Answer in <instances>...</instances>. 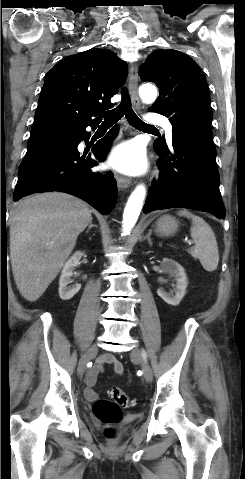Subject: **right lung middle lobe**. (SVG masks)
<instances>
[{"label":"right lung middle lobe","instance_id":"obj_1","mask_svg":"<svg viewBox=\"0 0 245 479\" xmlns=\"http://www.w3.org/2000/svg\"><path fill=\"white\" fill-rule=\"evenodd\" d=\"M57 130H60V129H57ZM53 131H56V130H47V131H36V132H31V135H30V138H29V143L30 142H33V141H36L48 134H50L51 132Z\"/></svg>","mask_w":245,"mask_h":479}]
</instances>
